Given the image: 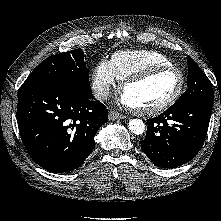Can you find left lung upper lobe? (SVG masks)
Returning <instances> with one entry per match:
<instances>
[{
  "label": "left lung upper lobe",
  "mask_w": 221,
  "mask_h": 221,
  "mask_svg": "<svg viewBox=\"0 0 221 221\" xmlns=\"http://www.w3.org/2000/svg\"><path fill=\"white\" fill-rule=\"evenodd\" d=\"M188 90L171 107H178L192 100L213 102V88L210 80L200 70L197 63L188 57Z\"/></svg>",
  "instance_id": "obj_1"
}]
</instances>
